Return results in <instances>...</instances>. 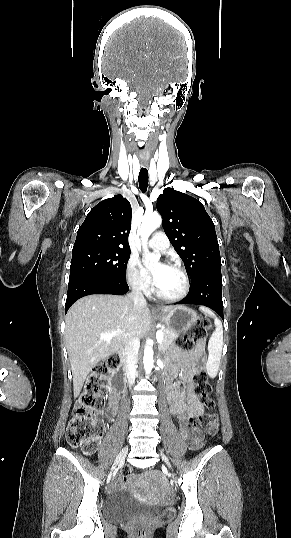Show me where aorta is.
I'll list each match as a JSON object with an SVG mask.
<instances>
[{"label":"aorta","instance_id":"1","mask_svg":"<svg viewBox=\"0 0 291 538\" xmlns=\"http://www.w3.org/2000/svg\"><path fill=\"white\" fill-rule=\"evenodd\" d=\"M161 222V216L155 212L146 214L142 220L140 234L143 242V250L151 264L159 262L160 256L152 255L148 252L147 241L151 233L160 226ZM152 345L153 341L151 339H147L143 355V365L146 374H150L154 366Z\"/></svg>","mask_w":291,"mask_h":538}]
</instances>
